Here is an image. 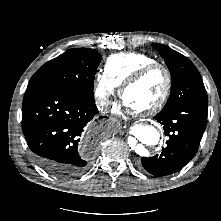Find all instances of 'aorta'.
Segmentation results:
<instances>
[{"label":"aorta","instance_id":"1","mask_svg":"<svg viewBox=\"0 0 221 221\" xmlns=\"http://www.w3.org/2000/svg\"><path fill=\"white\" fill-rule=\"evenodd\" d=\"M133 134L141 143L146 145H156L160 138L159 131L151 125H138L135 127ZM141 143H133L131 147L137 154L144 156L147 150Z\"/></svg>","mask_w":221,"mask_h":221}]
</instances>
